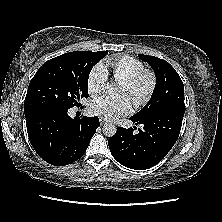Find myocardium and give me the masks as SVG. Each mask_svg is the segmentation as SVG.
<instances>
[{"mask_svg": "<svg viewBox=\"0 0 222 222\" xmlns=\"http://www.w3.org/2000/svg\"><path fill=\"white\" fill-rule=\"evenodd\" d=\"M144 83L146 87L141 92L140 88ZM123 85L126 86L134 107L140 108L146 105L153 96L157 85V78L152 71L143 70L134 77L124 81Z\"/></svg>", "mask_w": 222, "mask_h": 222, "instance_id": "1", "label": "myocardium"}]
</instances>
